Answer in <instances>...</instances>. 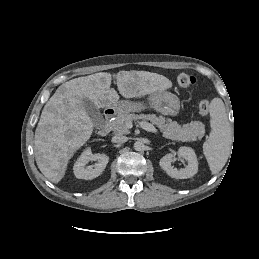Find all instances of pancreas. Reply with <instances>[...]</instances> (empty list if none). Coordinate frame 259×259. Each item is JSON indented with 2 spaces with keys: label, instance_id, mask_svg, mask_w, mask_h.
<instances>
[{
  "label": "pancreas",
  "instance_id": "1",
  "mask_svg": "<svg viewBox=\"0 0 259 259\" xmlns=\"http://www.w3.org/2000/svg\"><path fill=\"white\" fill-rule=\"evenodd\" d=\"M133 120L150 121L163 132L167 139L182 142H192L201 139L204 136L205 129L203 123L192 121L189 124L179 125L171 119L156 114H124L120 115L115 121L110 122L109 126L116 134H129L128 124Z\"/></svg>",
  "mask_w": 259,
  "mask_h": 259
}]
</instances>
